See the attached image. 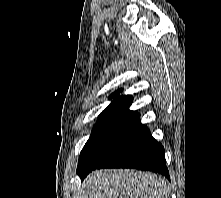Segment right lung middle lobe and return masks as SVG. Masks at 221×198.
<instances>
[{
	"label": "right lung middle lobe",
	"instance_id": "obj_1",
	"mask_svg": "<svg viewBox=\"0 0 221 198\" xmlns=\"http://www.w3.org/2000/svg\"><path fill=\"white\" fill-rule=\"evenodd\" d=\"M142 127L143 125L139 123L122 121L95 124L89 140L80 153L77 174L82 176L95 169L135 137Z\"/></svg>",
	"mask_w": 221,
	"mask_h": 198
}]
</instances>
